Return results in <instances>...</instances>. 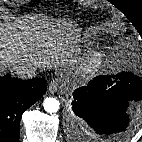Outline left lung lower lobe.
Listing matches in <instances>:
<instances>
[{
	"mask_svg": "<svg viewBox=\"0 0 142 142\" xmlns=\"http://www.w3.org/2000/svg\"><path fill=\"white\" fill-rule=\"evenodd\" d=\"M72 110L103 142L123 141L129 133L128 107L142 100V81L130 72L98 76L73 93Z\"/></svg>",
	"mask_w": 142,
	"mask_h": 142,
	"instance_id": "1",
	"label": "left lung lower lobe"
}]
</instances>
